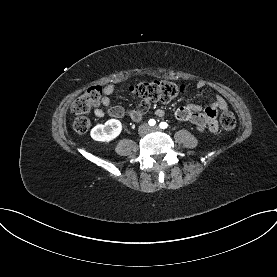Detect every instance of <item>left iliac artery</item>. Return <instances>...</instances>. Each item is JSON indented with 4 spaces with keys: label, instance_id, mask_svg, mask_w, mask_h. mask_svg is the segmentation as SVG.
<instances>
[{
    "label": "left iliac artery",
    "instance_id": "44dca946",
    "mask_svg": "<svg viewBox=\"0 0 277 277\" xmlns=\"http://www.w3.org/2000/svg\"><path fill=\"white\" fill-rule=\"evenodd\" d=\"M159 126L161 129H166L168 127V124L166 122H161Z\"/></svg>",
    "mask_w": 277,
    "mask_h": 277
}]
</instances>
